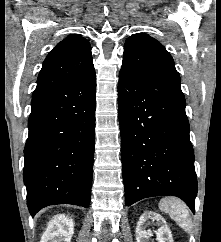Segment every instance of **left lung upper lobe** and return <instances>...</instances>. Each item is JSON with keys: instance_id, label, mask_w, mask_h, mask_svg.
<instances>
[{"instance_id": "5c2ea615", "label": "left lung upper lobe", "mask_w": 221, "mask_h": 242, "mask_svg": "<svg viewBox=\"0 0 221 242\" xmlns=\"http://www.w3.org/2000/svg\"><path fill=\"white\" fill-rule=\"evenodd\" d=\"M122 68L156 90L184 98L172 56L160 42L145 33L134 34L126 40Z\"/></svg>"}]
</instances>
